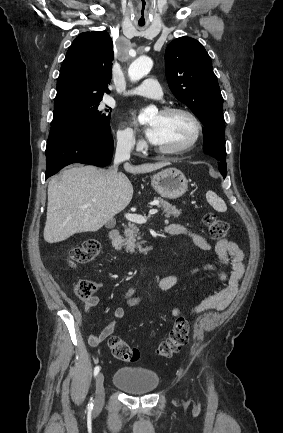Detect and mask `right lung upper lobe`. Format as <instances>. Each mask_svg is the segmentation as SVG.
I'll return each mask as SVG.
<instances>
[{"label": "right lung upper lobe", "mask_w": 283, "mask_h": 433, "mask_svg": "<svg viewBox=\"0 0 283 433\" xmlns=\"http://www.w3.org/2000/svg\"><path fill=\"white\" fill-rule=\"evenodd\" d=\"M113 56L112 39L106 31L79 34L61 65L54 112L109 94Z\"/></svg>", "instance_id": "1"}]
</instances>
